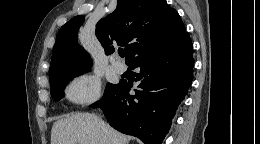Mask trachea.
<instances>
[{"instance_id":"3493384b","label":"trachea","mask_w":260,"mask_h":144,"mask_svg":"<svg viewBox=\"0 0 260 144\" xmlns=\"http://www.w3.org/2000/svg\"><path fill=\"white\" fill-rule=\"evenodd\" d=\"M118 53H119V56L120 57H124V50L123 49H120L119 51H118Z\"/></svg>"}]
</instances>
